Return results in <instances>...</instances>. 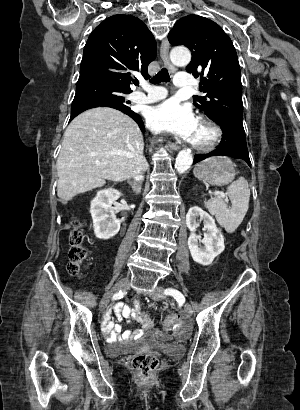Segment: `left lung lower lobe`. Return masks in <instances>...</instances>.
<instances>
[{"label":"left lung lower lobe","mask_w":300,"mask_h":410,"mask_svg":"<svg viewBox=\"0 0 300 410\" xmlns=\"http://www.w3.org/2000/svg\"><path fill=\"white\" fill-rule=\"evenodd\" d=\"M216 123L219 124L223 132L220 145L208 154L195 155L194 163L211 156H230L243 159L251 166L242 121L227 116L219 119Z\"/></svg>","instance_id":"1"}]
</instances>
